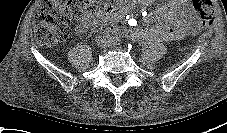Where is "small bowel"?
I'll return each instance as SVG.
<instances>
[{
    "mask_svg": "<svg viewBox=\"0 0 227 133\" xmlns=\"http://www.w3.org/2000/svg\"><path fill=\"white\" fill-rule=\"evenodd\" d=\"M137 3L146 5L153 0H135ZM190 0H168L158 6L157 14L148 21H157L156 27L127 29L125 34L130 39H146L156 42L175 41L186 35L196 33L200 24L189 6ZM125 8L119 11L115 18L124 16Z\"/></svg>",
    "mask_w": 227,
    "mask_h": 133,
    "instance_id": "obj_1",
    "label": "small bowel"
}]
</instances>
